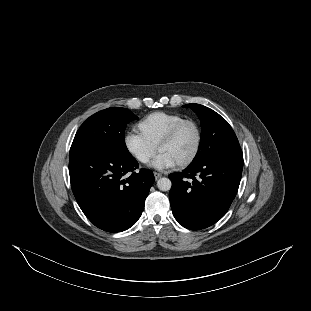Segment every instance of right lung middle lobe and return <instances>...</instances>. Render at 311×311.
Wrapping results in <instances>:
<instances>
[{
	"instance_id": "1",
	"label": "right lung middle lobe",
	"mask_w": 311,
	"mask_h": 311,
	"mask_svg": "<svg viewBox=\"0 0 311 311\" xmlns=\"http://www.w3.org/2000/svg\"><path fill=\"white\" fill-rule=\"evenodd\" d=\"M137 118L130 110L119 107L108 108L93 114L77 131L70 154L91 146L106 147L128 154L124 139L125 128L129 122Z\"/></svg>"
}]
</instances>
